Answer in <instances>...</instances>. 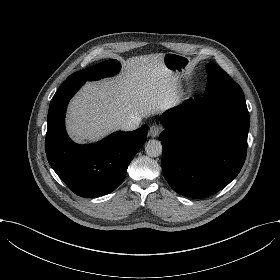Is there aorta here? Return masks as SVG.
Wrapping results in <instances>:
<instances>
[{
  "mask_svg": "<svg viewBox=\"0 0 280 280\" xmlns=\"http://www.w3.org/2000/svg\"><path fill=\"white\" fill-rule=\"evenodd\" d=\"M145 152L149 157H157L162 153V144L159 140L151 139L145 144Z\"/></svg>",
  "mask_w": 280,
  "mask_h": 280,
  "instance_id": "1",
  "label": "aorta"
}]
</instances>
